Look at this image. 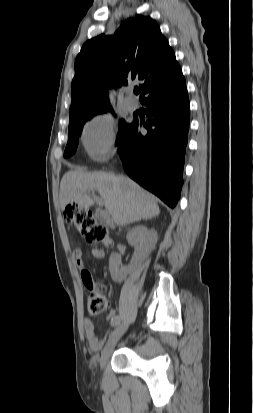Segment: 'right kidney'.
<instances>
[{"label": "right kidney", "instance_id": "obj_1", "mask_svg": "<svg viewBox=\"0 0 253 413\" xmlns=\"http://www.w3.org/2000/svg\"><path fill=\"white\" fill-rule=\"evenodd\" d=\"M128 243L135 248L134 261L126 267L121 263V257L113 253L109 259V271L111 277L116 282L123 281L129 273L136 267L140 266L155 248L158 240V234L155 230H148L145 226H136L131 229L126 236Z\"/></svg>", "mask_w": 253, "mask_h": 413}]
</instances>
